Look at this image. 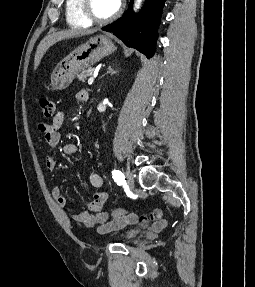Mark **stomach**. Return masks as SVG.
Returning a JSON list of instances; mask_svg holds the SVG:
<instances>
[{
    "instance_id": "stomach-1",
    "label": "stomach",
    "mask_w": 255,
    "mask_h": 287,
    "mask_svg": "<svg viewBox=\"0 0 255 287\" xmlns=\"http://www.w3.org/2000/svg\"><path fill=\"white\" fill-rule=\"evenodd\" d=\"M115 46L107 36H95L85 44H80L67 58V66L61 72H55L52 76V88L64 90L67 88L79 72L90 68L102 58H106L114 52Z\"/></svg>"
}]
</instances>
